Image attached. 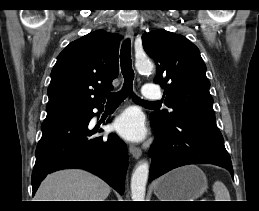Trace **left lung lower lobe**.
I'll use <instances>...</instances> for the list:
<instances>
[{"label":"left lung lower lobe","mask_w":259,"mask_h":211,"mask_svg":"<svg viewBox=\"0 0 259 211\" xmlns=\"http://www.w3.org/2000/svg\"><path fill=\"white\" fill-rule=\"evenodd\" d=\"M156 143L149 150L152 158L149 179L187 164H214L233 176L231 158L216 122L183 116L171 124L151 117Z\"/></svg>","instance_id":"1"}]
</instances>
